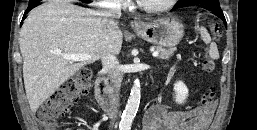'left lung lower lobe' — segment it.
Segmentation results:
<instances>
[{
    "instance_id": "obj_1",
    "label": "left lung lower lobe",
    "mask_w": 257,
    "mask_h": 130,
    "mask_svg": "<svg viewBox=\"0 0 257 130\" xmlns=\"http://www.w3.org/2000/svg\"><path fill=\"white\" fill-rule=\"evenodd\" d=\"M200 4L205 5V9L213 12L215 15H217L218 17H220L225 23V17L224 14L220 8V4L218 0H201ZM179 8V6H175L172 10H175Z\"/></svg>"
}]
</instances>
